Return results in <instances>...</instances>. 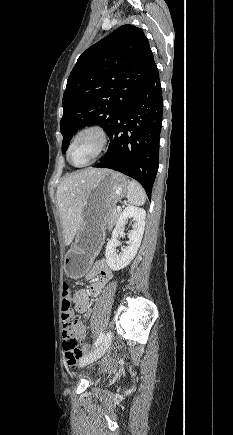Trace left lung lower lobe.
Instances as JSON below:
<instances>
[{
  "instance_id": "left-lung-lower-lobe-1",
  "label": "left lung lower lobe",
  "mask_w": 233,
  "mask_h": 435,
  "mask_svg": "<svg viewBox=\"0 0 233 435\" xmlns=\"http://www.w3.org/2000/svg\"><path fill=\"white\" fill-rule=\"evenodd\" d=\"M163 100L157 67L148 82L115 119L103 160L94 167L137 180L149 199L158 169Z\"/></svg>"
}]
</instances>
